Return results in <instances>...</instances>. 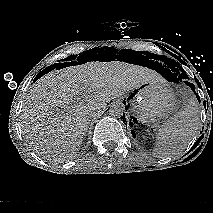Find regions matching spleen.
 Instances as JSON below:
<instances>
[{
	"label": "spleen",
	"instance_id": "obj_1",
	"mask_svg": "<svg viewBox=\"0 0 213 213\" xmlns=\"http://www.w3.org/2000/svg\"><path fill=\"white\" fill-rule=\"evenodd\" d=\"M199 128V105L196 98L192 97L158 130L156 149L166 155L184 149Z\"/></svg>",
	"mask_w": 213,
	"mask_h": 213
}]
</instances>
